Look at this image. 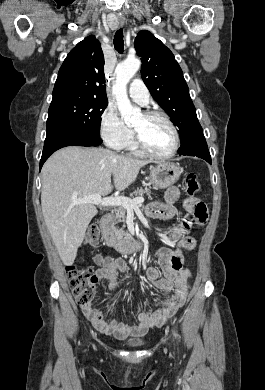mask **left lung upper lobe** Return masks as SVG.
Wrapping results in <instances>:
<instances>
[{"instance_id": "obj_1", "label": "left lung upper lobe", "mask_w": 265, "mask_h": 390, "mask_svg": "<svg viewBox=\"0 0 265 390\" xmlns=\"http://www.w3.org/2000/svg\"><path fill=\"white\" fill-rule=\"evenodd\" d=\"M135 50L142 60V79L154 100L178 127L181 140L178 153H184L204 134L183 72L170 49L149 31L137 34Z\"/></svg>"}]
</instances>
